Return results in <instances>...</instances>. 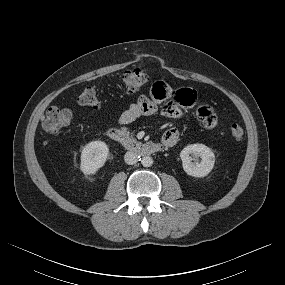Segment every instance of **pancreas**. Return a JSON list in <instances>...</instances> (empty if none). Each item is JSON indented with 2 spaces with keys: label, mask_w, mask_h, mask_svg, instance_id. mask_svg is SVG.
<instances>
[{
  "label": "pancreas",
  "mask_w": 285,
  "mask_h": 285,
  "mask_svg": "<svg viewBox=\"0 0 285 285\" xmlns=\"http://www.w3.org/2000/svg\"><path fill=\"white\" fill-rule=\"evenodd\" d=\"M130 141H131L132 143H134V144L137 143L136 140H135L133 137L130 138Z\"/></svg>",
  "instance_id": "pancreas-1"
}]
</instances>
